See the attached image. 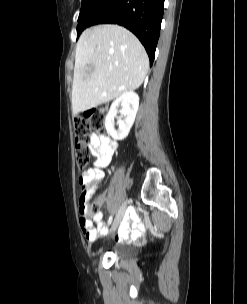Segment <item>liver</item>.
<instances>
[{
    "label": "liver",
    "mask_w": 247,
    "mask_h": 304,
    "mask_svg": "<svg viewBox=\"0 0 247 304\" xmlns=\"http://www.w3.org/2000/svg\"><path fill=\"white\" fill-rule=\"evenodd\" d=\"M148 69L147 53L129 30L110 24L86 29L76 46L73 114L139 88Z\"/></svg>",
    "instance_id": "liver-1"
}]
</instances>
